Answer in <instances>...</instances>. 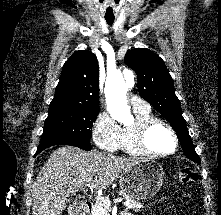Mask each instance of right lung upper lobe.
I'll list each match as a JSON object with an SVG mask.
<instances>
[{"instance_id": "obj_1", "label": "right lung upper lobe", "mask_w": 221, "mask_h": 215, "mask_svg": "<svg viewBox=\"0 0 221 215\" xmlns=\"http://www.w3.org/2000/svg\"><path fill=\"white\" fill-rule=\"evenodd\" d=\"M99 67L91 51L75 52L63 65L49 113L99 110Z\"/></svg>"}]
</instances>
